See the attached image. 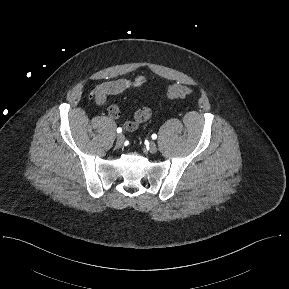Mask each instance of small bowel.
Instances as JSON below:
<instances>
[{
	"mask_svg": "<svg viewBox=\"0 0 289 289\" xmlns=\"http://www.w3.org/2000/svg\"><path fill=\"white\" fill-rule=\"evenodd\" d=\"M149 87L147 77L143 75L136 76L133 79H116L106 81L100 84L95 91V102L98 105H104L109 96L121 94L129 89ZM108 115L112 119L120 117V110L118 106L111 105L108 108ZM152 111L149 107H140L135 110L133 118L123 122V126L127 131H134L138 126L150 119Z\"/></svg>",
	"mask_w": 289,
	"mask_h": 289,
	"instance_id": "1",
	"label": "small bowel"
}]
</instances>
